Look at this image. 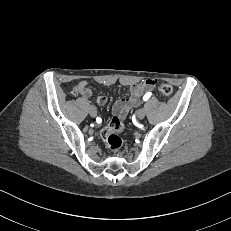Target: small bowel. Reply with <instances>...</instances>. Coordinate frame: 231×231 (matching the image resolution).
Returning a JSON list of instances; mask_svg holds the SVG:
<instances>
[{
    "mask_svg": "<svg viewBox=\"0 0 231 231\" xmlns=\"http://www.w3.org/2000/svg\"><path fill=\"white\" fill-rule=\"evenodd\" d=\"M154 80L147 79L140 83H136L131 85L128 96L125 98L119 99L113 106L112 112L115 116L124 117L128 111L134 107H137L140 103V98L144 93L150 91L154 86ZM74 94H79L85 97L91 96L92 91L88 87L87 82L85 80L80 81L74 88ZM97 103L103 105L106 103L107 98L103 95H98L96 97Z\"/></svg>",
    "mask_w": 231,
    "mask_h": 231,
    "instance_id": "c3829d8e",
    "label": "small bowel"
}]
</instances>
